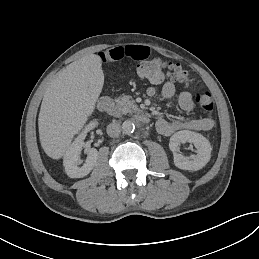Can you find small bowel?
Instances as JSON below:
<instances>
[{
    "label": "small bowel",
    "instance_id": "small-bowel-1",
    "mask_svg": "<svg viewBox=\"0 0 259 259\" xmlns=\"http://www.w3.org/2000/svg\"><path fill=\"white\" fill-rule=\"evenodd\" d=\"M150 50L147 46L143 45H121L103 50L99 53V58L102 62H114L123 58L132 60H144L149 56ZM161 95L170 100L176 93L175 84L172 81H167L160 89ZM148 95L154 96L158 93L156 86H151ZM180 108L188 115L177 119H164L160 118L156 122L157 131L164 135L170 136L182 130H195V131H208L214 126V120L210 117H195L191 115L195 108L192 93L190 91H183L178 97Z\"/></svg>",
    "mask_w": 259,
    "mask_h": 259
}]
</instances>
